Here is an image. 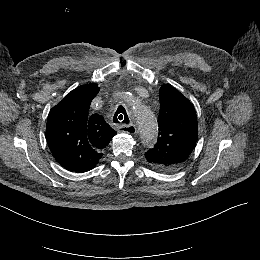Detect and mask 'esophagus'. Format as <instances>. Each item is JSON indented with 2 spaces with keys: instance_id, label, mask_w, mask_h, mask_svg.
<instances>
[{
  "instance_id": "obj_1",
  "label": "esophagus",
  "mask_w": 260,
  "mask_h": 260,
  "mask_svg": "<svg viewBox=\"0 0 260 260\" xmlns=\"http://www.w3.org/2000/svg\"><path fill=\"white\" fill-rule=\"evenodd\" d=\"M118 130L127 134H135L137 131L136 126L133 123L127 125H120L118 127Z\"/></svg>"
}]
</instances>
